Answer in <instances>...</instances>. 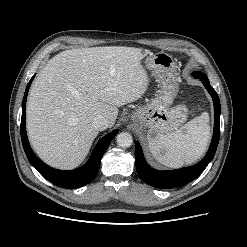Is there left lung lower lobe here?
<instances>
[{"label":"left lung lower lobe","mask_w":247,"mask_h":247,"mask_svg":"<svg viewBox=\"0 0 247 247\" xmlns=\"http://www.w3.org/2000/svg\"><path fill=\"white\" fill-rule=\"evenodd\" d=\"M193 76L202 81L203 85L210 93L214 103V133L205 157L196 165L184 167L170 171H159L151 168L145 161L139 142L135 143V161L136 169L140 178L146 183L156 188L171 189L183 186L197 178L213 159L220 137V113L221 106L219 97L213 87L210 85L207 76L204 73L194 72Z\"/></svg>","instance_id":"1"}]
</instances>
